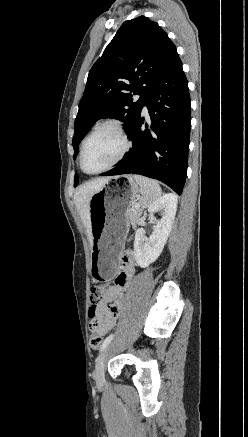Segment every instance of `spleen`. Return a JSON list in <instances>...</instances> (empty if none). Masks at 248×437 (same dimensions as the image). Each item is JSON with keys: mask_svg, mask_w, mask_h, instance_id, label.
Returning <instances> with one entry per match:
<instances>
[{"mask_svg": "<svg viewBox=\"0 0 248 437\" xmlns=\"http://www.w3.org/2000/svg\"><path fill=\"white\" fill-rule=\"evenodd\" d=\"M133 177L140 186V205L142 207H149L160 197V185L157 181L144 176L134 175Z\"/></svg>", "mask_w": 248, "mask_h": 437, "instance_id": "1", "label": "spleen"}]
</instances>
